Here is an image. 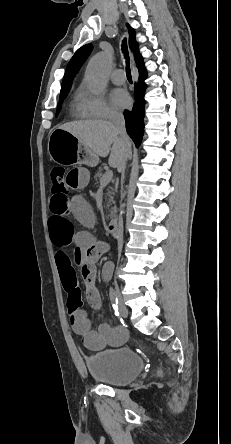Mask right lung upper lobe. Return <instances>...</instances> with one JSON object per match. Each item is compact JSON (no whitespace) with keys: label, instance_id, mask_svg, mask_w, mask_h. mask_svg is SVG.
<instances>
[{"label":"right lung upper lobe","instance_id":"obj_1","mask_svg":"<svg viewBox=\"0 0 231 444\" xmlns=\"http://www.w3.org/2000/svg\"><path fill=\"white\" fill-rule=\"evenodd\" d=\"M127 26L129 30V45L131 49L135 52V60L140 71L144 69L143 58L139 53H137L138 43L135 38V31L128 24ZM92 48L93 46L91 44H86L76 51L66 68L64 79L61 85V91L70 89L75 75L78 73L80 67L91 53Z\"/></svg>","mask_w":231,"mask_h":444}]
</instances>
